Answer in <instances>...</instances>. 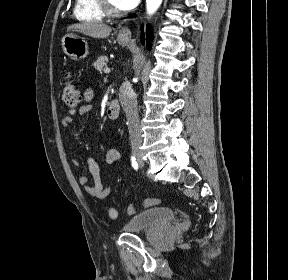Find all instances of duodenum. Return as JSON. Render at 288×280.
Returning <instances> with one entry per match:
<instances>
[{
    "label": "duodenum",
    "mask_w": 288,
    "mask_h": 280,
    "mask_svg": "<svg viewBox=\"0 0 288 280\" xmlns=\"http://www.w3.org/2000/svg\"><path fill=\"white\" fill-rule=\"evenodd\" d=\"M121 111L120 104L117 100H113L109 103L107 108V116L111 120H115L119 117Z\"/></svg>",
    "instance_id": "duodenum-1"
}]
</instances>
